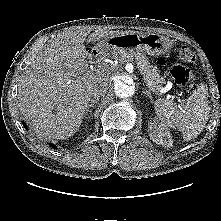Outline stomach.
I'll return each instance as SVG.
<instances>
[{
	"label": "stomach",
	"mask_w": 221,
	"mask_h": 221,
	"mask_svg": "<svg viewBox=\"0 0 221 221\" xmlns=\"http://www.w3.org/2000/svg\"><path fill=\"white\" fill-rule=\"evenodd\" d=\"M172 48V42L158 34H141L129 32L120 34L98 43L97 50L101 54L110 51L117 53L128 52L132 54L146 53L149 55H161Z\"/></svg>",
	"instance_id": "obj_1"
}]
</instances>
